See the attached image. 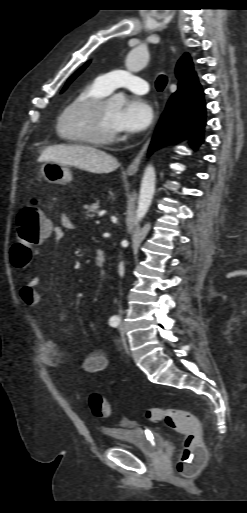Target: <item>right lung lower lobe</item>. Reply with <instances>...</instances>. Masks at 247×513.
Returning <instances> with one entry per match:
<instances>
[{
	"mask_svg": "<svg viewBox=\"0 0 247 513\" xmlns=\"http://www.w3.org/2000/svg\"><path fill=\"white\" fill-rule=\"evenodd\" d=\"M205 109L204 92L200 85L188 90H177L160 119L150 153L161 146L177 142L189 131L194 134L191 145L196 148L201 144L206 124Z\"/></svg>",
	"mask_w": 247,
	"mask_h": 513,
	"instance_id": "obj_1",
	"label": "right lung lower lobe"
}]
</instances>
